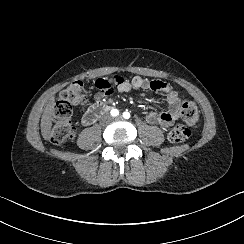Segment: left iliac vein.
<instances>
[{"instance_id":"obj_1","label":"left iliac vein","mask_w":244,"mask_h":244,"mask_svg":"<svg viewBox=\"0 0 244 244\" xmlns=\"http://www.w3.org/2000/svg\"><path fill=\"white\" fill-rule=\"evenodd\" d=\"M122 117L121 116H118L116 119L120 120Z\"/></svg>"}]
</instances>
